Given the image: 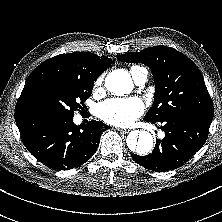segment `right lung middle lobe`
I'll return each instance as SVG.
<instances>
[{
  "label": "right lung middle lobe",
  "mask_w": 222,
  "mask_h": 222,
  "mask_svg": "<svg viewBox=\"0 0 222 222\" xmlns=\"http://www.w3.org/2000/svg\"><path fill=\"white\" fill-rule=\"evenodd\" d=\"M93 84L94 81L79 79L50 80L31 92L27 107L73 117L76 110H83L84 102L91 95Z\"/></svg>",
  "instance_id": "right-lung-middle-lobe-1"
}]
</instances>
